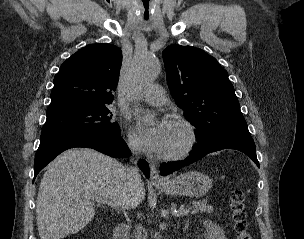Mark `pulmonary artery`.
<instances>
[{
    "mask_svg": "<svg viewBox=\"0 0 304 239\" xmlns=\"http://www.w3.org/2000/svg\"><path fill=\"white\" fill-rule=\"evenodd\" d=\"M141 98L150 105L159 106L165 103L166 96L160 85L154 84L149 86L141 94Z\"/></svg>",
    "mask_w": 304,
    "mask_h": 239,
    "instance_id": "1",
    "label": "pulmonary artery"
}]
</instances>
